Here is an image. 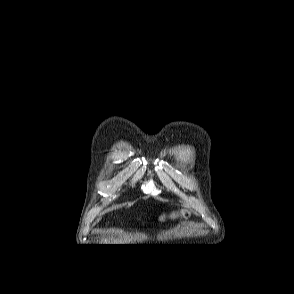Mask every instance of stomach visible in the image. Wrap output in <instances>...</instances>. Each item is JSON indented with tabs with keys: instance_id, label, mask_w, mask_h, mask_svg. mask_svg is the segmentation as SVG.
<instances>
[{
	"instance_id": "obj_1",
	"label": "stomach",
	"mask_w": 294,
	"mask_h": 294,
	"mask_svg": "<svg viewBox=\"0 0 294 294\" xmlns=\"http://www.w3.org/2000/svg\"><path fill=\"white\" fill-rule=\"evenodd\" d=\"M180 215H181V216H184V217H188V213H187L186 211H181ZM177 216H178V213H172V214H171V217H177ZM165 218H166L165 215H162V216L160 217L161 220H163V219H165Z\"/></svg>"
}]
</instances>
